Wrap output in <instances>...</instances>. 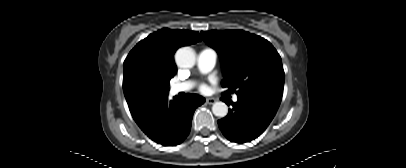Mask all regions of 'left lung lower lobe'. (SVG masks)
Returning <instances> with one entry per match:
<instances>
[{"label":"left lung lower lobe","mask_w":406,"mask_h":168,"mask_svg":"<svg viewBox=\"0 0 406 168\" xmlns=\"http://www.w3.org/2000/svg\"><path fill=\"white\" fill-rule=\"evenodd\" d=\"M229 103L233 108L218 125L228 140L237 143L250 142L260 136L280 105V101L258 96L238 97L237 102Z\"/></svg>","instance_id":"obj_1"}]
</instances>
